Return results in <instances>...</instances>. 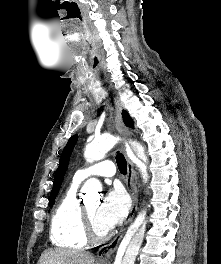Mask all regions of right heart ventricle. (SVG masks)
I'll use <instances>...</instances> for the list:
<instances>
[{"instance_id":"right-heart-ventricle-1","label":"right heart ventricle","mask_w":221,"mask_h":264,"mask_svg":"<svg viewBox=\"0 0 221 264\" xmlns=\"http://www.w3.org/2000/svg\"><path fill=\"white\" fill-rule=\"evenodd\" d=\"M78 183H73L61 197L51 219L50 238L55 246L80 249L86 246L81 204L77 198Z\"/></svg>"}]
</instances>
